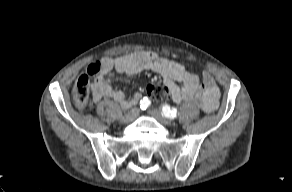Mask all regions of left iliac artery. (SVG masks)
Here are the masks:
<instances>
[{
  "mask_svg": "<svg viewBox=\"0 0 292 192\" xmlns=\"http://www.w3.org/2000/svg\"><path fill=\"white\" fill-rule=\"evenodd\" d=\"M162 111L165 117L170 119L176 118L179 115L176 108H170L167 105L162 107Z\"/></svg>",
  "mask_w": 292,
  "mask_h": 192,
  "instance_id": "1",
  "label": "left iliac artery"
}]
</instances>
